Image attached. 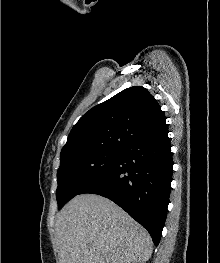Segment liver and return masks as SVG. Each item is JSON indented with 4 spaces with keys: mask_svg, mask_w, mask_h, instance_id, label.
<instances>
[{
    "mask_svg": "<svg viewBox=\"0 0 220 263\" xmlns=\"http://www.w3.org/2000/svg\"><path fill=\"white\" fill-rule=\"evenodd\" d=\"M60 263L146 262L149 233L114 202L96 194L77 195L57 214Z\"/></svg>",
    "mask_w": 220,
    "mask_h": 263,
    "instance_id": "liver-1",
    "label": "liver"
}]
</instances>
